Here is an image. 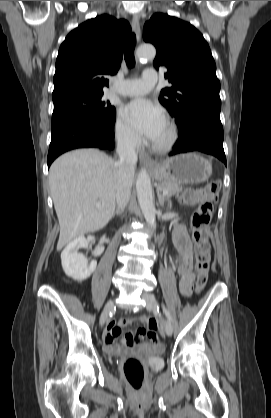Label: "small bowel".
<instances>
[{"label": "small bowel", "instance_id": "c3829d8e", "mask_svg": "<svg viewBox=\"0 0 271 418\" xmlns=\"http://www.w3.org/2000/svg\"><path fill=\"white\" fill-rule=\"evenodd\" d=\"M174 244L177 250V265L180 275V292L184 297H189L192 294L194 283V275L192 272V243L185 227L182 225H177L175 227ZM133 321L134 319L132 318H121L117 322L109 323L103 335L104 348L106 352L117 354L122 351L123 347L135 351H145L147 349L157 351L162 348L159 342H153L152 340L151 348L145 345L144 339L146 336H148L149 330L144 328L138 329L136 334L132 332L127 333L122 340V345L116 344L115 339L121 335L122 328L129 326L133 323Z\"/></svg>", "mask_w": 271, "mask_h": 418}]
</instances>
